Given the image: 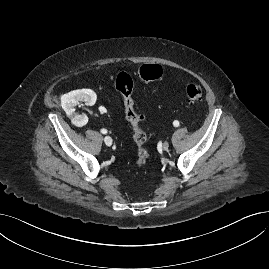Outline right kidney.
Wrapping results in <instances>:
<instances>
[{
    "instance_id": "1",
    "label": "right kidney",
    "mask_w": 269,
    "mask_h": 269,
    "mask_svg": "<svg viewBox=\"0 0 269 269\" xmlns=\"http://www.w3.org/2000/svg\"><path fill=\"white\" fill-rule=\"evenodd\" d=\"M97 99L96 93L91 89H79L62 95L61 105L68 116L81 122L85 125L88 121L86 115L74 116L75 106L79 102H86L89 105L95 104Z\"/></svg>"
}]
</instances>
